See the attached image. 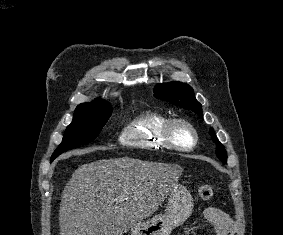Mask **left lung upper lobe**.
Instances as JSON below:
<instances>
[{
    "label": "left lung upper lobe",
    "mask_w": 283,
    "mask_h": 235,
    "mask_svg": "<svg viewBox=\"0 0 283 235\" xmlns=\"http://www.w3.org/2000/svg\"><path fill=\"white\" fill-rule=\"evenodd\" d=\"M154 96L157 99L174 103L182 108L191 110L198 115H202V106L196 100L193 89L186 83L170 82L166 84H158L154 88ZM210 135L217 144V157L223 162L227 161V153L225 147L219 142L214 130L210 129Z\"/></svg>",
    "instance_id": "left-lung-upper-lobe-1"
}]
</instances>
